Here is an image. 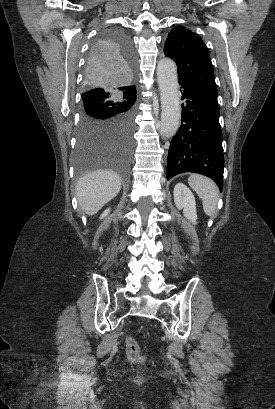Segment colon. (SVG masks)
Instances as JSON below:
<instances>
[{
    "label": "colon",
    "instance_id": "obj_1",
    "mask_svg": "<svg viewBox=\"0 0 275 409\" xmlns=\"http://www.w3.org/2000/svg\"><path fill=\"white\" fill-rule=\"evenodd\" d=\"M125 351L127 358L137 364H142L146 361V356L141 352L138 343L128 338L125 343Z\"/></svg>",
    "mask_w": 275,
    "mask_h": 409
}]
</instances>
